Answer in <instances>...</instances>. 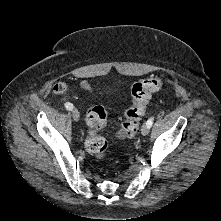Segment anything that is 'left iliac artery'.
Wrapping results in <instances>:
<instances>
[{
  "label": "left iliac artery",
  "mask_w": 221,
  "mask_h": 221,
  "mask_svg": "<svg viewBox=\"0 0 221 221\" xmlns=\"http://www.w3.org/2000/svg\"><path fill=\"white\" fill-rule=\"evenodd\" d=\"M153 120H154V118L151 117V118L148 119V121L146 122V124H147V126H148L149 128L152 126V124H153Z\"/></svg>",
  "instance_id": "1"
}]
</instances>
